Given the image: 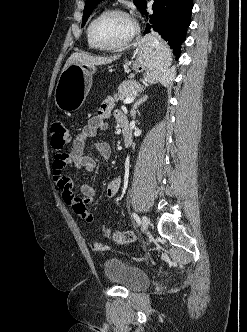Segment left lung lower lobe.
<instances>
[{
    "mask_svg": "<svg viewBox=\"0 0 247 332\" xmlns=\"http://www.w3.org/2000/svg\"><path fill=\"white\" fill-rule=\"evenodd\" d=\"M153 14L148 15L147 1L141 10L149 24L145 32L157 31L168 42L174 54L180 56V46L186 39L187 27L191 23L193 0H154Z\"/></svg>",
    "mask_w": 247,
    "mask_h": 332,
    "instance_id": "1",
    "label": "left lung lower lobe"
}]
</instances>
